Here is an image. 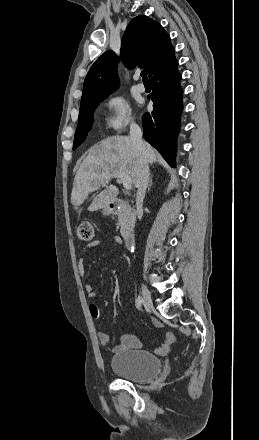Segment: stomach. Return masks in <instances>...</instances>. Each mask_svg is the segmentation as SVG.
I'll use <instances>...</instances> for the list:
<instances>
[{
  "instance_id": "obj_1",
  "label": "stomach",
  "mask_w": 259,
  "mask_h": 440,
  "mask_svg": "<svg viewBox=\"0 0 259 440\" xmlns=\"http://www.w3.org/2000/svg\"><path fill=\"white\" fill-rule=\"evenodd\" d=\"M112 212L110 211V209L108 207L104 208L103 210V214L104 215H110Z\"/></svg>"
}]
</instances>
